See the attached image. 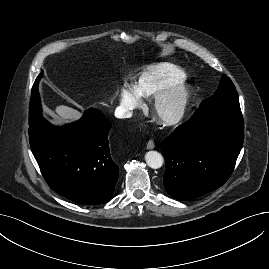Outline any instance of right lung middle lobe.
I'll return each mask as SVG.
<instances>
[{"instance_id":"1","label":"right lung middle lobe","mask_w":269,"mask_h":269,"mask_svg":"<svg viewBox=\"0 0 269 269\" xmlns=\"http://www.w3.org/2000/svg\"><path fill=\"white\" fill-rule=\"evenodd\" d=\"M42 77V73L36 79L33 89H32V96L31 102L29 107V126L33 127L36 126L39 121L43 118L41 116V108H40V97L38 93V79Z\"/></svg>"}]
</instances>
